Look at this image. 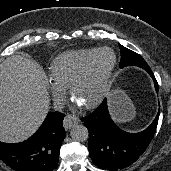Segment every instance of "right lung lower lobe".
<instances>
[{
    "instance_id": "right-lung-lower-lobe-1",
    "label": "right lung lower lobe",
    "mask_w": 171,
    "mask_h": 171,
    "mask_svg": "<svg viewBox=\"0 0 171 171\" xmlns=\"http://www.w3.org/2000/svg\"><path fill=\"white\" fill-rule=\"evenodd\" d=\"M64 117L60 112L49 113L39 130L24 142H0V159L16 171H53L66 135Z\"/></svg>"
}]
</instances>
